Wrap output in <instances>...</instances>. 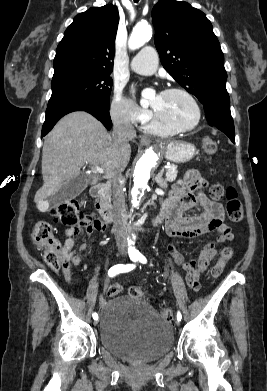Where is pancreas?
Returning <instances> with one entry per match:
<instances>
[{
    "label": "pancreas",
    "mask_w": 267,
    "mask_h": 391,
    "mask_svg": "<svg viewBox=\"0 0 267 391\" xmlns=\"http://www.w3.org/2000/svg\"><path fill=\"white\" fill-rule=\"evenodd\" d=\"M170 168L166 170V182H173L177 178V167L175 165H170ZM108 199L110 200V195H108Z\"/></svg>",
    "instance_id": "1"
}]
</instances>
